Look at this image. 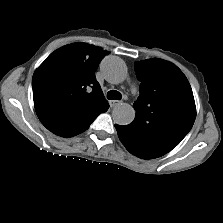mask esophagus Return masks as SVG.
I'll use <instances>...</instances> for the list:
<instances>
[{
	"mask_svg": "<svg viewBox=\"0 0 223 223\" xmlns=\"http://www.w3.org/2000/svg\"><path fill=\"white\" fill-rule=\"evenodd\" d=\"M120 103H121L120 101H117V100H111V101L109 102V105H110V107H115V106L119 105Z\"/></svg>",
	"mask_w": 223,
	"mask_h": 223,
	"instance_id": "esophagus-1",
	"label": "esophagus"
}]
</instances>
